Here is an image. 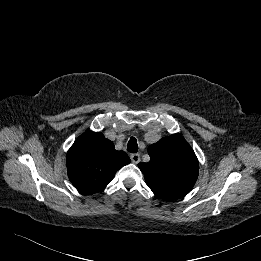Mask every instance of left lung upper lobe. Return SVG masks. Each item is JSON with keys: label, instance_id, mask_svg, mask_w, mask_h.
<instances>
[{"label": "left lung upper lobe", "instance_id": "left-lung-upper-lobe-1", "mask_svg": "<svg viewBox=\"0 0 261 261\" xmlns=\"http://www.w3.org/2000/svg\"><path fill=\"white\" fill-rule=\"evenodd\" d=\"M150 161L139 163L146 184L164 200L185 196L194 186L199 164L197 157L181 134L160 139L148 147Z\"/></svg>", "mask_w": 261, "mask_h": 261}]
</instances>
